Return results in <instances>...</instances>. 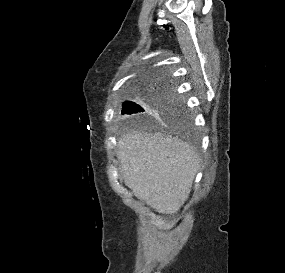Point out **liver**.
<instances>
[{
    "instance_id": "1",
    "label": "liver",
    "mask_w": 285,
    "mask_h": 273,
    "mask_svg": "<svg viewBox=\"0 0 285 273\" xmlns=\"http://www.w3.org/2000/svg\"><path fill=\"white\" fill-rule=\"evenodd\" d=\"M117 158L121 177L134 196L156 212L170 215L188 199L199 167L198 156L188 144L137 131L120 136Z\"/></svg>"
}]
</instances>
